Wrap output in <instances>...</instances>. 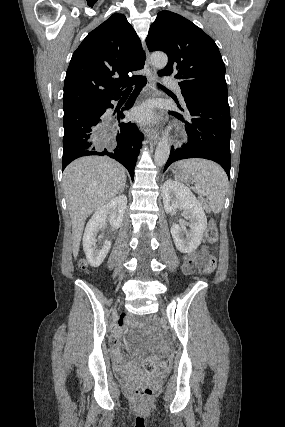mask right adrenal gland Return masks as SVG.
Listing matches in <instances>:
<instances>
[{
	"mask_svg": "<svg viewBox=\"0 0 285 427\" xmlns=\"http://www.w3.org/2000/svg\"><path fill=\"white\" fill-rule=\"evenodd\" d=\"M125 187H127V185H126V184H124V186H123V187H122V189L120 190V192H121V193L124 191Z\"/></svg>",
	"mask_w": 285,
	"mask_h": 427,
	"instance_id": "2a0ac1e0",
	"label": "right adrenal gland"
}]
</instances>
